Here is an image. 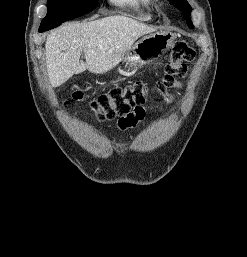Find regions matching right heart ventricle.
Returning a JSON list of instances; mask_svg holds the SVG:
<instances>
[{"instance_id": "right-heart-ventricle-1", "label": "right heart ventricle", "mask_w": 247, "mask_h": 257, "mask_svg": "<svg viewBox=\"0 0 247 257\" xmlns=\"http://www.w3.org/2000/svg\"><path fill=\"white\" fill-rule=\"evenodd\" d=\"M113 5L134 12L143 21L151 19L149 7L153 0H109Z\"/></svg>"}]
</instances>
